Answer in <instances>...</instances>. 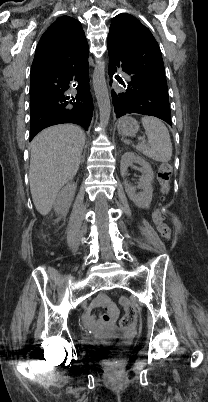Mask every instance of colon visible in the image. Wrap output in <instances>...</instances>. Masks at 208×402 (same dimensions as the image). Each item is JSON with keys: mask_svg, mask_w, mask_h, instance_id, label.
Instances as JSON below:
<instances>
[{"mask_svg": "<svg viewBox=\"0 0 208 402\" xmlns=\"http://www.w3.org/2000/svg\"><path fill=\"white\" fill-rule=\"evenodd\" d=\"M173 175V166L169 162H163L158 169V181L160 183V202H163L168 197L171 191V178ZM152 219L157 226V229L161 237L165 240H171L172 229L170 225L165 221L161 206L156 207L152 212ZM119 304L122 308V327H134L136 320L134 319L137 314L134 301L131 297H120Z\"/></svg>", "mask_w": 208, "mask_h": 402, "instance_id": "colon-1", "label": "colon"}]
</instances>
